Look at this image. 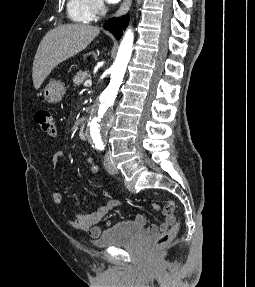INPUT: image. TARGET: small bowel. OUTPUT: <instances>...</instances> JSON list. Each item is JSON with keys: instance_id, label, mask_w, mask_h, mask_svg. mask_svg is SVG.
Listing matches in <instances>:
<instances>
[{"instance_id": "1", "label": "small bowel", "mask_w": 255, "mask_h": 287, "mask_svg": "<svg viewBox=\"0 0 255 287\" xmlns=\"http://www.w3.org/2000/svg\"><path fill=\"white\" fill-rule=\"evenodd\" d=\"M64 153L62 151H59L54 156V161L57 160L58 157L63 156ZM81 156L86 159L87 163L90 165L91 171L93 173L98 172V167L94 163L93 159L88 156V154L83 151L81 152ZM106 197L108 198V201L99 206L94 212L91 214H76L72 217L70 220V224L75 229L79 230H85L88 231L91 237H98L101 233V230L97 227V224L110 212L113 210H116L119 208V202L115 199H113L109 193V191L105 192ZM53 199L56 203L61 202L62 195L59 192H55L53 194ZM156 208L159 206L154 204ZM174 211V204L172 202H169L166 206V208L163 211L164 214V221L160 225H150L148 226L147 230L150 234H158L163 233L168 228L174 224L176 221L175 215L173 214ZM135 223H137L140 226L145 227L147 225V218L143 214H138L135 217Z\"/></svg>"}]
</instances>
